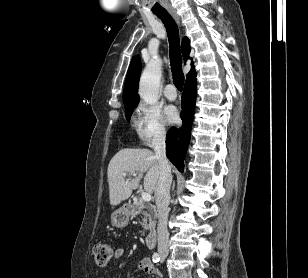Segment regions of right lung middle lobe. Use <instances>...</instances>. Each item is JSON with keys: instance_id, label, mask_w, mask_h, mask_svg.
I'll list each match as a JSON object with an SVG mask.
<instances>
[{"instance_id": "obj_1", "label": "right lung middle lobe", "mask_w": 308, "mask_h": 278, "mask_svg": "<svg viewBox=\"0 0 308 278\" xmlns=\"http://www.w3.org/2000/svg\"><path fill=\"white\" fill-rule=\"evenodd\" d=\"M135 107H136V105H129V106L125 107V109H126V119H127V121L130 120V117H131V115H132L133 110H134Z\"/></svg>"}]
</instances>
